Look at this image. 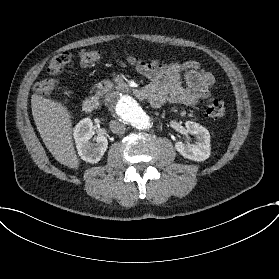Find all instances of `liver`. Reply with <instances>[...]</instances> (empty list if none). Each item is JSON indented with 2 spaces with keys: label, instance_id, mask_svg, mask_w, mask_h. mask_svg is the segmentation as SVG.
I'll return each mask as SVG.
<instances>
[{
  "label": "liver",
  "instance_id": "liver-1",
  "mask_svg": "<svg viewBox=\"0 0 279 279\" xmlns=\"http://www.w3.org/2000/svg\"><path fill=\"white\" fill-rule=\"evenodd\" d=\"M32 115L40 136L53 157L61 164L77 169L79 159L72 140L70 114L61 103L33 94Z\"/></svg>",
  "mask_w": 279,
  "mask_h": 279
}]
</instances>
